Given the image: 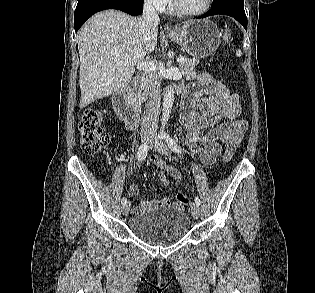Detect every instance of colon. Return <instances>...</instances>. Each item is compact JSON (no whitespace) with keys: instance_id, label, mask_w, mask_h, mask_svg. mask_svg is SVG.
Returning a JSON list of instances; mask_svg holds the SVG:
<instances>
[{"instance_id":"obj_1","label":"colon","mask_w":315,"mask_h":293,"mask_svg":"<svg viewBox=\"0 0 315 293\" xmlns=\"http://www.w3.org/2000/svg\"><path fill=\"white\" fill-rule=\"evenodd\" d=\"M233 38V31L227 28L224 32V39L230 42ZM103 112L99 109H87L84 111L80 123V144L82 151L90 156L101 154L110 143V136L102 128ZM232 151L226 149L224 160L229 161L232 157ZM176 202L180 206L189 204V198L183 193L176 195Z\"/></svg>"}]
</instances>
